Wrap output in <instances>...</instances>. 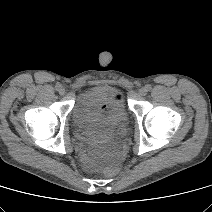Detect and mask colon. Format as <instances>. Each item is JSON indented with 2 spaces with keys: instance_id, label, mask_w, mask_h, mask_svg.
Returning a JSON list of instances; mask_svg holds the SVG:
<instances>
[{
  "instance_id": "5ec220e1",
  "label": "colon",
  "mask_w": 212,
  "mask_h": 212,
  "mask_svg": "<svg viewBox=\"0 0 212 212\" xmlns=\"http://www.w3.org/2000/svg\"><path fill=\"white\" fill-rule=\"evenodd\" d=\"M117 173V169L116 168H112L110 170V174L115 175Z\"/></svg>"
}]
</instances>
